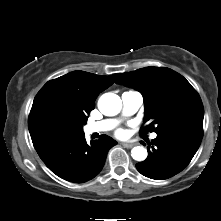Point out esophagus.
<instances>
[{
    "mask_svg": "<svg viewBox=\"0 0 221 221\" xmlns=\"http://www.w3.org/2000/svg\"><path fill=\"white\" fill-rule=\"evenodd\" d=\"M122 146L125 148H132L134 146L133 143H122Z\"/></svg>",
    "mask_w": 221,
    "mask_h": 221,
    "instance_id": "esophagus-1",
    "label": "esophagus"
}]
</instances>
